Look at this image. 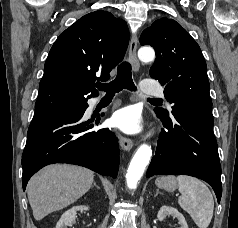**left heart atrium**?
<instances>
[{
	"mask_svg": "<svg viewBox=\"0 0 238 228\" xmlns=\"http://www.w3.org/2000/svg\"><path fill=\"white\" fill-rule=\"evenodd\" d=\"M112 124L125 133H138L142 130L141 114L133 106L124 107L113 114Z\"/></svg>",
	"mask_w": 238,
	"mask_h": 228,
	"instance_id": "obj_1",
	"label": "left heart atrium"
}]
</instances>
